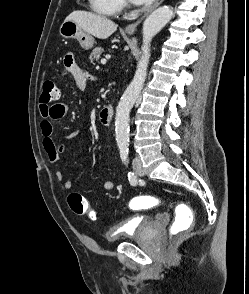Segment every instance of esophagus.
Instances as JSON below:
<instances>
[{
	"instance_id": "obj_1",
	"label": "esophagus",
	"mask_w": 249,
	"mask_h": 294,
	"mask_svg": "<svg viewBox=\"0 0 249 294\" xmlns=\"http://www.w3.org/2000/svg\"><path fill=\"white\" fill-rule=\"evenodd\" d=\"M164 0H156V2L146 11V13L135 23H132L130 25H128L125 28V31L129 34H132L135 32L137 26L140 24V22L146 17L148 16L154 9H156Z\"/></svg>"
}]
</instances>
